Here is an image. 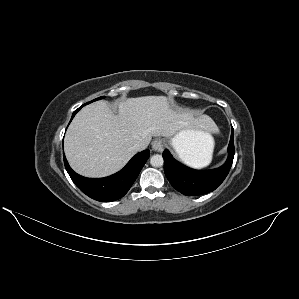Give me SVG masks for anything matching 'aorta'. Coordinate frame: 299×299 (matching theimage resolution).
I'll return each instance as SVG.
<instances>
[{
	"mask_svg": "<svg viewBox=\"0 0 299 299\" xmlns=\"http://www.w3.org/2000/svg\"><path fill=\"white\" fill-rule=\"evenodd\" d=\"M150 164L153 167H161L164 164L163 157L159 154H155L150 158Z\"/></svg>",
	"mask_w": 299,
	"mask_h": 299,
	"instance_id": "obj_1",
	"label": "aorta"
}]
</instances>
